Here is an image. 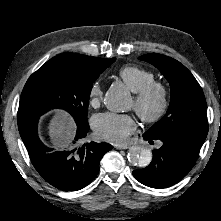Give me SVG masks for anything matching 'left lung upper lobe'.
I'll return each instance as SVG.
<instances>
[{
	"label": "left lung upper lobe",
	"mask_w": 221,
	"mask_h": 221,
	"mask_svg": "<svg viewBox=\"0 0 221 221\" xmlns=\"http://www.w3.org/2000/svg\"><path fill=\"white\" fill-rule=\"evenodd\" d=\"M139 59L158 68L171 87L167 113L145 133L157 139L183 138L202 146L208 133L206 101L194 76L180 62L165 55L150 53Z\"/></svg>",
	"instance_id": "obj_1"
}]
</instances>
